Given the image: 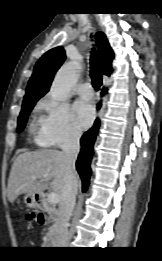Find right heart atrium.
Here are the masks:
<instances>
[{
    "mask_svg": "<svg viewBox=\"0 0 162 261\" xmlns=\"http://www.w3.org/2000/svg\"><path fill=\"white\" fill-rule=\"evenodd\" d=\"M40 109L44 114L38 120V143L64 146L79 140L81 131L68 105L48 95L42 100Z\"/></svg>",
    "mask_w": 162,
    "mask_h": 261,
    "instance_id": "d8ad5b80",
    "label": "right heart atrium"
}]
</instances>
